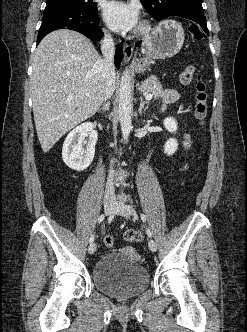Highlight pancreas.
I'll return each mask as SVG.
<instances>
[{"instance_id":"1","label":"pancreas","mask_w":247,"mask_h":332,"mask_svg":"<svg viewBox=\"0 0 247 332\" xmlns=\"http://www.w3.org/2000/svg\"><path fill=\"white\" fill-rule=\"evenodd\" d=\"M138 90L144 94H152L155 100L165 97L168 93L167 90L163 89L162 85L157 81L155 76H151L147 80L141 82V84L138 85Z\"/></svg>"}]
</instances>
